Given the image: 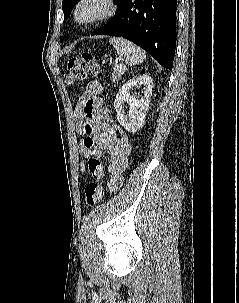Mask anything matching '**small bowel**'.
<instances>
[{
    "label": "small bowel",
    "instance_id": "small-bowel-1",
    "mask_svg": "<svg viewBox=\"0 0 239 303\" xmlns=\"http://www.w3.org/2000/svg\"><path fill=\"white\" fill-rule=\"evenodd\" d=\"M101 90V85L98 82H90L79 101L77 112L90 115L94 112L96 115L98 129L94 136V150L97 156L102 151H107L110 155L107 189L110 192H114L120 189L124 183V173L132 152V144L128 135L119 125L109 122L107 113L100 106L94 109L93 103L101 93ZM78 132H82L81 127H78ZM79 151L84 158L80 163V170L84 173L86 169L85 159L90 157V151L83 143L80 144Z\"/></svg>",
    "mask_w": 239,
    "mask_h": 303
}]
</instances>
